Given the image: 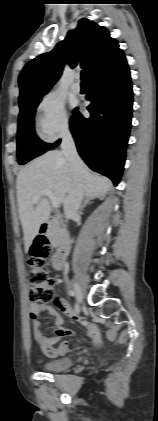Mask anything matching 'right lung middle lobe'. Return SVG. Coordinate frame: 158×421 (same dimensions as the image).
Wrapping results in <instances>:
<instances>
[{
	"label": "right lung middle lobe",
	"mask_w": 158,
	"mask_h": 421,
	"mask_svg": "<svg viewBox=\"0 0 158 421\" xmlns=\"http://www.w3.org/2000/svg\"><path fill=\"white\" fill-rule=\"evenodd\" d=\"M41 99L42 96H39L19 105L17 155L21 165L45 153L49 147V144L42 142L34 131V115Z\"/></svg>",
	"instance_id": "right-lung-middle-lobe-1"
}]
</instances>
